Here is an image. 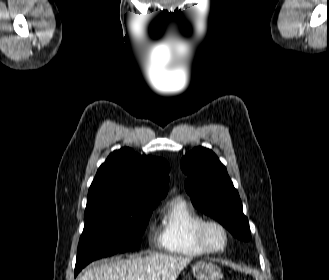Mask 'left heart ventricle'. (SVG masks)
Wrapping results in <instances>:
<instances>
[{
    "label": "left heart ventricle",
    "instance_id": "obj_1",
    "mask_svg": "<svg viewBox=\"0 0 329 280\" xmlns=\"http://www.w3.org/2000/svg\"><path fill=\"white\" fill-rule=\"evenodd\" d=\"M207 239H208L209 243L215 248H220L224 244V235L216 227H210L208 229Z\"/></svg>",
    "mask_w": 329,
    "mask_h": 280
}]
</instances>
